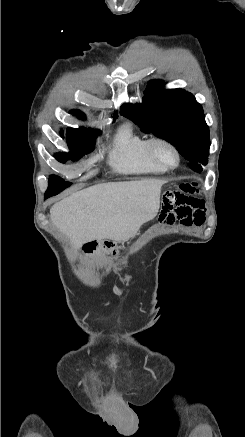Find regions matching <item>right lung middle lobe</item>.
I'll return each mask as SVG.
<instances>
[{"instance_id":"dd1d6c3e","label":"right lung middle lobe","mask_w":245,"mask_h":437,"mask_svg":"<svg viewBox=\"0 0 245 437\" xmlns=\"http://www.w3.org/2000/svg\"><path fill=\"white\" fill-rule=\"evenodd\" d=\"M100 133H101L100 130H94V129L67 128L66 140H67L68 147L71 151L69 153H65V152L57 153L55 154V158L61 163H65L68 159L72 161H77L79 158H81L84 155V153L87 154L94 149L95 139ZM61 137L64 138L63 131H61ZM68 183L69 182H65L62 178L55 175H51L49 177V185L50 184L66 185Z\"/></svg>"}]
</instances>
